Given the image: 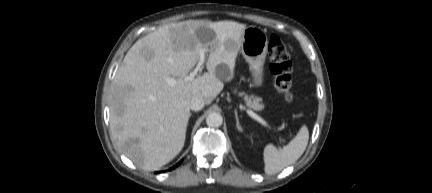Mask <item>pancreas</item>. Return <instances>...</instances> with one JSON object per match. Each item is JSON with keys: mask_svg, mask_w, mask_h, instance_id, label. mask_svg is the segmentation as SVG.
<instances>
[{"mask_svg": "<svg viewBox=\"0 0 432 193\" xmlns=\"http://www.w3.org/2000/svg\"><path fill=\"white\" fill-rule=\"evenodd\" d=\"M241 95H243V93H241ZM244 100L246 103V106L250 109L256 110V111H260L263 109V105L261 103L262 99L260 97H254V96H244Z\"/></svg>", "mask_w": 432, "mask_h": 193, "instance_id": "cf45deb5", "label": "pancreas"}]
</instances>
